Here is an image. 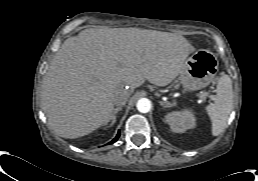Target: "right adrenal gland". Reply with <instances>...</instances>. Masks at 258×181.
Instances as JSON below:
<instances>
[{
  "label": "right adrenal gland",
  "mask_w": 258,
  "mask_h": 181,
  "mask_svg": "<svg viewBox=\"0 0 258 181\" xmlns=\"http://www.w3.org/2000/svg\"><path fill=\"white\" fill-rule=\"evenodd\" d=\"M121 110H122V107H117L116 109H114V113L111 118V123H110L109 127H112L114 125V123L116 122V114Z\"/></svg>",
  "instance_id": "obj_1"
}]
</instances>
